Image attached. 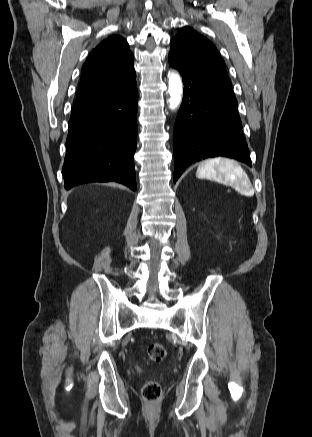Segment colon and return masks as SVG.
<instances>
[{
    "label": "colon",
    "instance_id": "obj_1",
    "mask_svg": "<svg viewBox=\"0 0 312 437\" xmlns=\"http://www.w3.org/2000/svg\"><path fill=\"white\" fill-rule=\"evenodd\" d=\"M146 352L148 358L154 362H161L166 356L165 347L158 342L149 343ZM142 395L146 401H157L161 397V387L156 381H148L143 387Z\"/></svg>",
    "mask_w": 312,
    "mask_h": 437
}]
</instances>
